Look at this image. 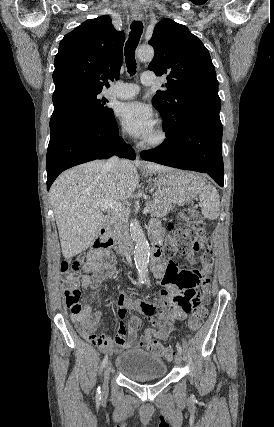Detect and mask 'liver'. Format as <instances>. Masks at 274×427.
I'll list each match as a JSON object with an SVG mask.
<instances>
[{"label": "liver", "mask_w": 274, "mask_h": 427, "mask_svg": "<svg viewBox=\"0 0 274 427\" xmlns=\"http://www.w3.org/2000/svg\"><path fill=\"white\" fill-rule=\"evenodd\" d=\"M104 166L103 160H95L66 170L50 188L64 257L81 253L95 241L104 221L99 202H123L138 186V172L129 160H120L119 172ZM145 168L146 176L172 170L152 162Z\"/></svg>", "instance_id": "obj_1"}]
</instances>
